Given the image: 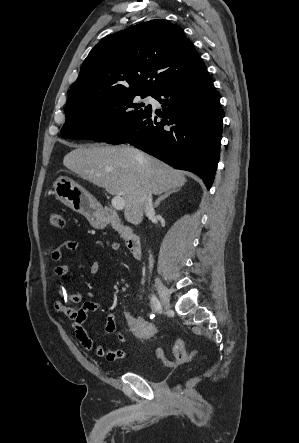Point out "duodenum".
<instances>
[{
  "label": "duodenum",
  "mask_w": 299,
  "mask_h": 443,
  "mask_svg": "<svg viewBox=\"0 0 299 443\" xmlns=\"http://www.w3.org/2000/svg\"><path fill=\"white\" fill-rule=\"evenodd\" d=\"M101 222L121 233L129 252L137 259L141 257L142 245L139 236L125 227L115 212L103 208L101 211Z\"/></svg>",
  "instance_id": "obj_1"
}]
</instances>
